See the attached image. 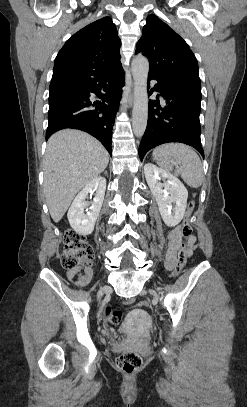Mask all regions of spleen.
Masks as SVG:
<instances>
[{"instance_id":"1","label":"spleen","mask_w":247,"mask_h":407,"mask_svg":"<svg viewBox=\"0 0 247 407\" xmlns=\"http://www.w3.org/2000/svg\"><path fill=\"white\" fill-rule=\"evenodd\" d=\"M153 157L166 171H173L174 165L177 164L175 174L180 175L188 186L198 188L202 185L204 178L202 163L191 147L181 143H167L156 147Z\"/></svg>"}]
</instances>
